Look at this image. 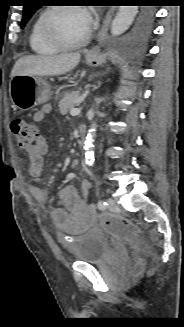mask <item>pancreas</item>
Here are the masks:
<instances>
[{
  "label": "pancreas",
  "mask_w": 184,
  "mask_h": 327,
  "mask_svg": "<svg viewBox=\"0 0 184 327\" xmlns=\"http://www.w3.org/2000/svg\"><path fill=\"white\" fill-rule=\"evenodd\" d=\"M80 97L79 92L65 93L59 101V111L62 115L67 114L77 104V99Z\"/></svg>",
  "instance_id": "pancreas-1"
}]
</instances>
